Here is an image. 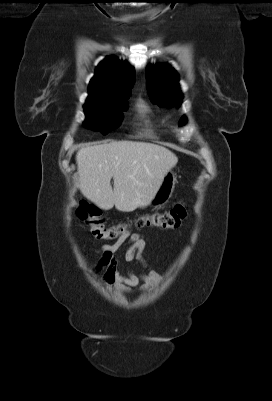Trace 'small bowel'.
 <instances>
[{
    "instance_id": "1",
    "label": "small bowel",
    "mask_w": 272,
    "mask_h": 401,
    "mask_svg": "<svg viewBox=\"0 0 272 401\" xmlns=\"http://www.w3.org/2000/svg\"><path fill=\"white\" fill-rule=\"evenodd\" d=\"M125 242H127V247L121 250ZM145 247L146 240L142 235L126 231L114 244L100 248V257L93 268V272L95 274L103 273V281L106 284L113 285L122 291L130 292L133 287L141 282V290L149 289L162 281V276L148 268V264L142 256ZM120 257L128 262L139 261L147 271L145 273L129 271L127 274H122L118 267Z\"/></svg>"
}]
</instances>
